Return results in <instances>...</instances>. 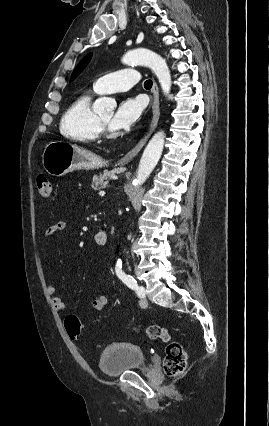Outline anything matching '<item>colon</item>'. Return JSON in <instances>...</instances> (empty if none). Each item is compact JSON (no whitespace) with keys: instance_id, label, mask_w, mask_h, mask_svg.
I'll list each match as a JSON object with an SVG mask.
<instances>
[{"instance_id":"1","label":"colon","mask_w":269,"mask_h":426,"mask_svg":"<svg viewBox=\"0 0 269 426\" xmlns=\"http://www.w3.org/2000/svg\"><path fill=\"white\" fill-rule=\"evenodd\" d=\"M39 194L43 198H51L53 195V186L50 179L44 174L39 173L36 178ZM65 328L68 335L74 339L80 336V321L75 315H68L65 319ZM147 338L153 341H162L166 343L165 359L163 368L165 373L176 378L180 376L187 367L188 355L182 343L173 338L167 328L161 325H149L144 330Z\"/></svg>"}]
</instances>
